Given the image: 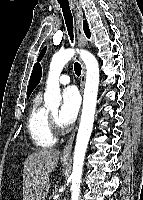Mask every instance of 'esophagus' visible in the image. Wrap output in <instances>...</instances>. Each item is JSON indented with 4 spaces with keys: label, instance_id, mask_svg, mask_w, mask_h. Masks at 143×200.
Returning a JSON list of instances; mask_svg holds the SVG:
<instances>
[{
    "label": "esophagus",
    "instance_id": "34e87169",
    "mask_svg": "<svg viewBox=\"0 0 143 200\" xmlns=\"http://www.w3.org/2000/svg\"><path fill=\"white\" fill-rule=\"evenodd\" d=\"M73 10L75 13V18H76V34H77L78 45L80 48H84L87 45V38L83 30V11L79 4H75L73 6ZM81 69H82V72H81L80 91L81 93H83L85 75H86L85 64L83 62L81 63ZM76 129L77 128H75L74 131L72 132L67 144L65 145L63 149L61 158L64 161L70 160L71 149H72L73 141L75 138Z\"/></svg>",
    "mask_w": 143,
    "mask_h": 200
}]
</instances>
